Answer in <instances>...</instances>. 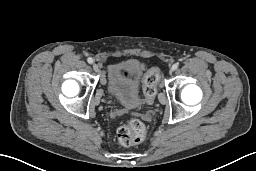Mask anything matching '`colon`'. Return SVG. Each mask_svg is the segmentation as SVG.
<instances>
[{
  "instance_id": "obj_1",
  "label": "colon",
  "mask_w": 256,
  "mask_h": 171,
  "mask_svg": "<svg viewBox=\"0 0 256 171\" xmlns=\"http://www.w3.org/2000/svg\"><path fill=\"white\" fill-rule=\"evenodd\" d=\"M159 80V74L156 69H150L146 72L143 84V93L148 101H152L156 95V84ZM147 128L145 124L138 119H131L119 126L117 129V140L122 146H132L145 140Z\"/></svg>"
}]
</instances>
